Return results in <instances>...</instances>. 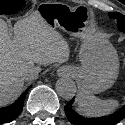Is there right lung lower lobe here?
Here are the masks:
<instances>
[{
    "mask_svg": "<svg viewBox=\"0 0 125 125\" xmlns=\"http://www.w3.org/2000/svg\"><path fill=\"white\" fill-rule=\"evenodd\" d=\"M26 90L22 95L10 106L0 108V124L15 120L23 110L24 100L27 95Z\"/></svg>",
    "mask_w": 125,
    "mask_h": 125,
    "instance_id": "obj_1",
    "label": "right lung lower lobe"
}]
</instances>
